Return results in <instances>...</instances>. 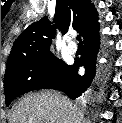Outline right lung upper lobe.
<instances>
[{
    "instance_id": "obj_1",
    "label": "right lung upper lobe",
    "mask_w": 122,
    "mask_h": 123,
    "mask_svg": "<svg viewBox=\"0 0 122 123\" xmlns=\"http://www.w3.org/2000/svg\"><path fill=\"white\" fill-rule=\"evenodd\" d=\"M54 22L55 26L44 17L27 27L14 42L6 68L29 58L51 53L49 48L55 37L56 27L62 34L74 28L84 40L100 28L98 13L88 0H57Z\"/></svg>"
}]
</instances>
